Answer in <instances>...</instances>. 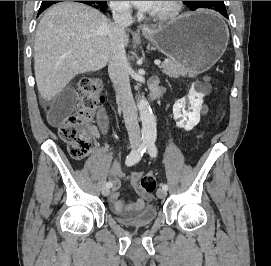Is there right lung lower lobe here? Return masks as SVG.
I'll list each match as a JSON object with an SVG mask.
<instances>
[{
	"instance_id": "98d812e1",
	"label": "right lung lower lobe",
	"mask_w": 271,
	"mask_h": 266,
	"mask_svg": "<svg viewBox=\"0 0 271 266\" xmlns=\"http://www.w3.org/2000/svg\"><path fill=\"white\" fill-rule=\"evenodd\" d=\"M57 2H60V1H48V2L42 3L40 6L38 15L41 14L46 8H48L49 6ZM77 2L88 4L94 8H100L102 11H104L106 8V1H77Z\"/></svg>"
}]
</instances>
